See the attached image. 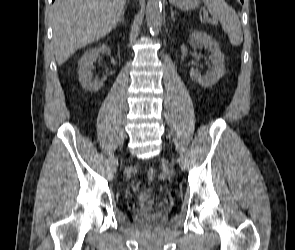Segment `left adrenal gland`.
<instances>
[{"instance_id":"left-adrenal-gland-1","label":"left adrenal gland","mask_w":295,"mask_h":250,"mask_svg":"<svg viewBox=\"0 0 295 250\" xmlns=\"http://www.w3.org/2000/svg\"><path fill=\"white\" fill-rule=\"evenodd\" d=\"M174 15H175V12L173 11V9L171 8V19L174 20Z\"/></svg>"}]
</instances>
